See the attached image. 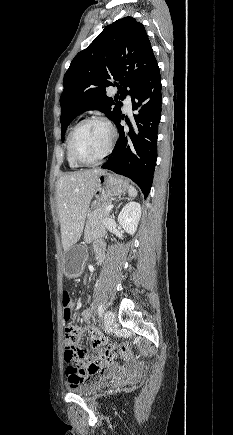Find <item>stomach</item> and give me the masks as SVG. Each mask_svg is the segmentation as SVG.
I'll return each mask as SVG.
<instances>
[{
    "mask_svg": "<svg viewBox=\"0 0 233 435\" xmlns=\"http://www.w3.org/2000/svg\"><path fill=\"white\" fill-rule=\"evenodd\" d=\"M129 183L124 178L115 176L108 172L101 173L96 180L95 184V201L93 208L99 207L101 204L106 203L111 197L119 196L127 191ZM87 257L85 247L80 245H73L69 249L64 250L63 270L68 278H78L83 273L84 263Z\"/></svg>",
    "mask_w": 233,
    "mask_h": 435,
    "instance_id": "stomach-1",
    "label": "stomach"
}]
</instances>
